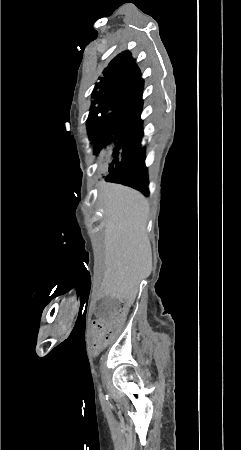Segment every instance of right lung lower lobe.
I'll use <instances>...</instances> for the list:
<instances>
[{
  "mask_svg": "<svg viewBox=\"0 0 241 450\" xmlns=\"http://www.w3.org/2000/svg\"><path fill=\"white\" fill-rule=\"evenodd\" d=\"M106 180L130 186L141 191L146 196L149 195L145 148L141 147V144L136 146L108 173Z\"/></svg>",
  "mask_w": 241,
  "mask_h": 450,
  "instance_id": "1",
  "label": "right lung lower lobe"
}]
</instances>
